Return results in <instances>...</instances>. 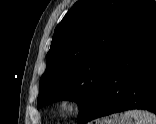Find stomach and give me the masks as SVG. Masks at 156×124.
Masks as SVG:
<instances>
[{
    "label": "stomach",
    "instance_id": "obj_1",
    "mask_svg": "<svg viewBox=\"0 0 156 124\" xmlns=\"http://www.w3.org/2000/svg\"><path fill=\"white\" fill-rule=\"evenodd\" d=\"M105 124H133L132 119L125 114H116L113 119L105 121Z\"/></svg>",
    "mask_w": 156,
    "mask_h": 124
}]
</instances>
